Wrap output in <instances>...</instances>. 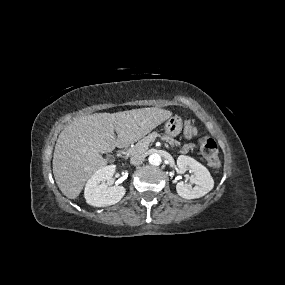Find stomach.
Masks as SVG:
<instances>
[{"instance_id":"stomach-1","label":"stomach","mask_w":285,"mask_h":285,"mask_svg":"<svg viewBox=\"0 0 285 285\" xmlns=\"http://www.w3.org/2000/svg\"><path fill=\"white\" fill-rule=\"evenodd\" d=\"M165 132L169 136H177L182 130V120L179 116L170 117L165 123Z\"/></svg>"}]
</instances>
